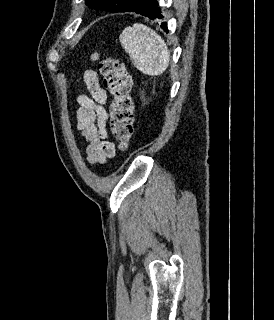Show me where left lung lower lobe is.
Here are the masks:
<instances>
[{
	"mask_svg": "<svg viewBox=\"0 0 274 320\" xmlns=\"http://www.w3.org/2000/svg\"><path fill=\"white\" fill-rule=\"evenodd\" d=\"M121 12H135L152 20L163 18L156 0H136L132 5ZM161 28L168 32L167 24L165 22L161 24Z\"/></svg>",
	"mask_w": 274,
	"mask_h": 320,
	"instance_id": "0a47b994",
	"label": "left lung lower lobe"
}]
</instances>
